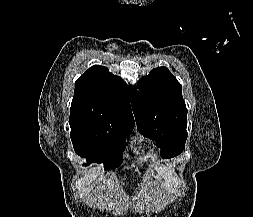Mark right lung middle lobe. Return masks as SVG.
Wrapping results in <instances>:
<instances>
[{
	"label": "right lung middle lobe",
	"mask_w": 253,
	"mask_h": 217,
	"mask_svg": "<svg viewBox=\"0 0 253 217\" xmlns=\"http://www.w3.org/2000/svg\"><path fill=\"white\" fill-rule=\"evenodd\" d=\"M70 127L75 152L88 164L103 162L109 170L122 164L124 137L130 135L134 123L70 116Z\"/></svg>",
	"instance_id": "obj_1"
}]
</instances>
